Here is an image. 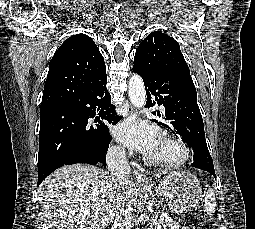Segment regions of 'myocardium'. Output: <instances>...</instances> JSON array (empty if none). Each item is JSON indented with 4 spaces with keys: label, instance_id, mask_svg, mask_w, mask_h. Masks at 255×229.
Returning a JSON list of instances; mask_svg holds the SVG:
<instances>
[{
    "label": "myocardium",
    "instance_id": "f54148a6",
    "mask_svg": "<svg viewBox=\"0 0 255 229\" xmlns=\"http://www.w3.org/2000/svg\"><path fill=\"white\" fill-rule=\"evenodd\" d=\"M162 140L178 150V157L169 159L148 155L146 157L148 163L164 168H178L189 161L191 153L189 147L184 141L170 135L163 136Z\"/></svg>",
    "mask_w": 255,
    "mask_h": 229
}]
</instances>
